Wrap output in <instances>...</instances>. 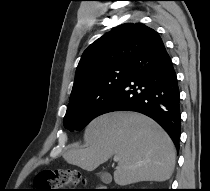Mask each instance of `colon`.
<instances>
[{
  "label": "colon",
  "instance_id": "1",
  "mask_svg": "<svg viewBox=\"0 0 210 191\" xmlns=\"http://www.w3.org/2000/svg\"><path fill=\"white\" fill-rule=\"evenodd\" d=\"M83 182L80 173L74 170H55L39 174L35 179L33 191H81L62 189L63 186L77 185Z\"/></svg>",
  "mask_w": 210,
  "mask_h": 191
}]
</instances>
